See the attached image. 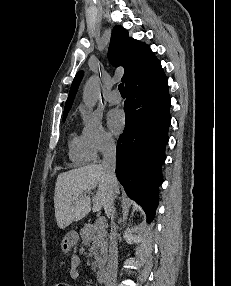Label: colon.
<instances>
[{
    "label": "colon",
    "instance_id": "5ec220e1",
    "mask_svg": "<svg viewBox=\"0 0 231 286\" xmlns=\"http://www.w3.org/2000/svg\"><path fill=\"white\" fill-rule=\"evenodd\" d=\"M55 286H72V285L68 282H59Z\"/></svg>",
    "mask_w": 231,
    "mask_h": 286
}]
</instances>
